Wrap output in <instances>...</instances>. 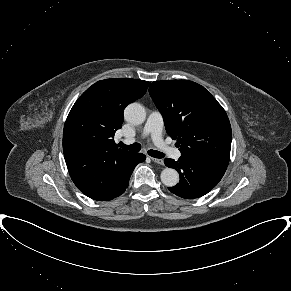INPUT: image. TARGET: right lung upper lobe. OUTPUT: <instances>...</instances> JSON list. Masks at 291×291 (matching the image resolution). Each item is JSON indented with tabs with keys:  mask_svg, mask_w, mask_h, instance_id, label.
<instances>
[{
	"mask_svg": "<svg viewBox=\"0 0 291 291\" xmlns=\"http://www.w3.org/2000/svg\"><path fill=\"white\" fill-rule=\"evenodd\" d=\"M149 84L130 78L98 81L69 112L63 130L64 158L71 179L86 196L105 190L133 155L118 149L114 135L123 123L125 107L141 98Z\"/></svg>",
	"mask_w": 291,
	"mask_h": 291,
	"instance_id": "right-lung-upper-lobe-1",
	"label": "right lung upper lobe"
}]
</instances>
